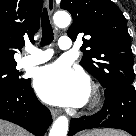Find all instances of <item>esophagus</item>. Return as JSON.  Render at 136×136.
<instances>
[{
  "mask_svg": "<svg viewBox=\"0 0 136 136\" xmlns=\"http://www.w3.org/2000/svg\"><path fill=\"white\" fill-rule=\"evenodd\" d=\"M46 2H47L48 13L51 16L54 12L55 1L54 0H46ZM50 111H51V115L53 118H56L59 115V111L57 109L52 108Z\"/></svg>",
  "mask_w": 136,
  "mask_h": 136,
  "instance_id": "34e87169",
  "label": "esophagus"
}]
</instances>
